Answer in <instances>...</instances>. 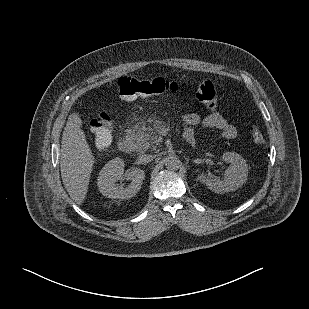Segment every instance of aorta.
<instances>
[{"label":"aorta","mask_w":309,"mask_h":309,"mask_svg":"<svg viewBox=\"0 0 309 309\" xmlns=\"http://www.w3.org/2000/svg\"><path fill=\"white\" fill-rule=\"evenodd\" d=\"M164 164L168 170L175 171L181 166V161L177 156H168L164 160Z\"/></svg>","instance_id":"1"}]
</instances>
